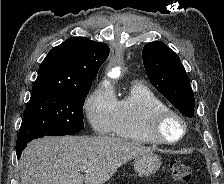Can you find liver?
<instances>
[{"label": "liver", "mask_w": 224, "mask_h": 184, "mask_svg": "<svg viewBox=\"0 0 224 184\" xmlns=\"http://www.w3.org/2000/svg\"><path fill=\"white\" fill-rule=\"evenodd\" d=\"M152 152L118 137H44L22 153L21 184H104L123 164Z\"/></svg>", "instance_id": "6515ba94"}]
</instances>
